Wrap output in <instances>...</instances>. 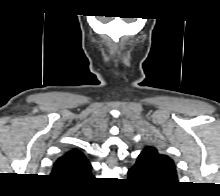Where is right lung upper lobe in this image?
Segmentation results:
<instances>
[{"mask_svg":"<svg viewBox=\"0 0 220 196\" xmlns=\"http://www.w3.org/2000/svg\"><path fill=\"white\" fill-rule=\"evenodd\" d=\"M90 169L91 164L84 154L73 149L56 161L51 175L69 182H81L91 175Z\"/></svg>","mask_w":220,"mask_h":196,"instance_id":"obj_1","label":"right lung upper lobe"}]
</instances>
